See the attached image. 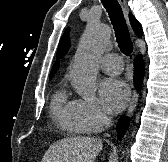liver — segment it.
Listing matches in <instances>:
<instances>
[{
	"label": "liver",
	"instance_id": "6515ba94",
	"mask_svg": "<svg viewBox=\"0 0 168 162\" xmlns=\"http://www.w3.org/2000/svg\"><path fill=\"white\" fill-rule=\"evenodd\" d=\"M102 149L96 137H71L52 144L41 162H94Z\"/></svg>",
	"mask_w": 168,
	"mask_h": 162
}]
</instances>
